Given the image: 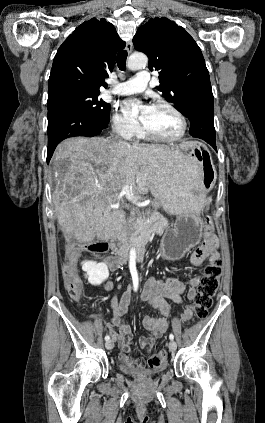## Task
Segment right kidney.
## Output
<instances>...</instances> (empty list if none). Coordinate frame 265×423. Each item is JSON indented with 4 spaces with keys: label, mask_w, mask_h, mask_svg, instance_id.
I'll return each mask as SVG.
<instances>
[{
    "label": "right kidney",
    "mask_w": 265,
    "mask_h": 423,
    "mask_svg": "<svg viewBox=\"0 0 265 423\" xmlns=\"http://www.w3.org/2000/svg\"><path fill=\"white\" fill-rule=\"evenodd\" d=\"M82 270L85 272L88 282L93 286L102 284L109 277L108 267L105 263L84 261Z\"/></svg>",
    "instance_id": "obj_1"
}]
</instances>
